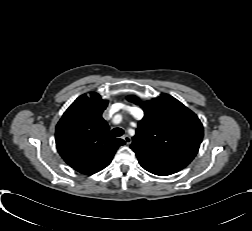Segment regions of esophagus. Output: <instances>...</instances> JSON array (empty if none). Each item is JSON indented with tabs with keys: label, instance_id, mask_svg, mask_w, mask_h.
I'll list each match as a JSON object with an SVG mask.
<instances>
[{
	"label": "esophagus",
	"instance_id": "esophagus-1",
	"mask_svg": "<svg viewBox=\"0 0 252 231\" xmlns=\"http://www.w3.org/2000/svg\"><path fill=\"white\" fill-rule=\"evenodd\" d=\"M122 138L124 139V141L128 145L132 142V139H131V137L129 135H123Z\"/></svg>",
	"mask_w": 252,
	"mask_h": 231
}]
</instances>
